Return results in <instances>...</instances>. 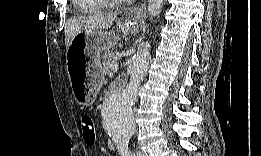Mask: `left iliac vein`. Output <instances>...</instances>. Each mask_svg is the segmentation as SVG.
Wrapping results in <instances>:
<instances>
[{
    "label": "left iliac vein",
    "instance_id": "left-iliac-vein-1",
    "mask_svg": "<svg viewBox=\"0 0 261 156\" xmlns=\"http://www.w3.org/2000/svg\"><path fill=\"white\" fill-rule=\"evenodd\" d=\"M136 154H137L138 156H144V153H143L141 150H138V151L136 152Z\"/></svg>",
    "mask_w": 261,
    "mask_h": 156
}]
</instances>
